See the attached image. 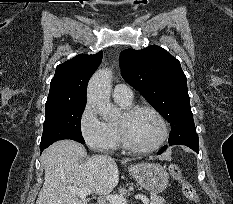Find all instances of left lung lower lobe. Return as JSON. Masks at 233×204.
I'll return each mask as SVG.
<instances>
[{
  "label": "left lung lower lobe",
  "mask_w": 233,
  "mask_h": 204,
  "mask_svg": "<svg viewBox=\"0 0 233 204\" xmlns=\"http://www.w3.org/2000/svg\"><path fill=\"white\" fill-rule=\"evenodd\" d=\"M177 144L186 145L190 147L191 149H193L194 151H196L197 153L199 152V142H198L197 134H184V135H181L176 140L169 142V146L177 145ZM166 148L167 146H164L158 152V154H161L163 151H165Z\"/></svg>",
  "instance_id": "1"
}]
</instances>
